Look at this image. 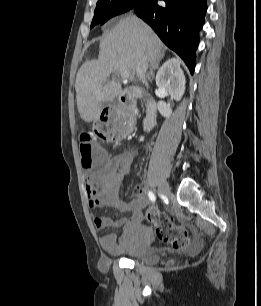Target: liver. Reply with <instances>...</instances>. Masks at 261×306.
<instances>
[{"label": "liver", "instance_id": "6515ba94", "mask_svg": "<svg viewBox=\"0 0 261 306\" xmlns=\"http://www.w3.org/2000/svg\"><path fill=\"white\" fill-rule=\"evenodd\" d=\"M164 53V44L145 22L134 15L121 19L100 42L99 58L84 63L77 73L75 90L81 118L86 122L96 120L102 102H111L122 94L119 82H106L111 73L127 70L133 80L143 57L153 63Z\"/></svg>", "mask_w": 261, "mask_h": 306}]
</instances>
